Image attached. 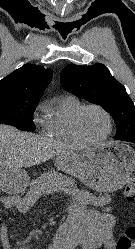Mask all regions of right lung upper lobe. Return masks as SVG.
I'll return each mask as SVG.
<instances>
[{
	"label": "right lung upper lobe",
	"mask_w": 135,
	"mask_h": 249,
	"mask_svg": "<svg viewBox=\"0 0 135 249\" xmlns=\"http://www.w3.org/2000/svg\"><path fill=\"white\" fill-rule=\"evenodd\" d=\"M53 72L43 66L25 64L0 80V95L38 99L50 83Z\"/></svg>",
	"instance_id": "obj_1"
}]
</instances>
